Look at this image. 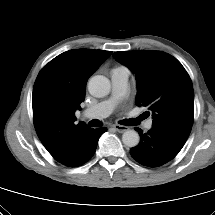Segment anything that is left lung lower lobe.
I'll use <instances>...</instances> for the list:
<instances>
[{
	"label": "left lung lower lobe",
	"mask_w": 215,
	"mask_h": 215,
	"mask_svg": "<svg viewBox=\"0 0 215 215\" xmlns=\"http://www.w3.org/2000/svg\"><path fill=\"white\" fill-rule=\"evenodd\" d=\"M140 135V142L130 149L131 156L140 164L158 167L172 160L184 146L167 133L152 127L147 133L135 128Z\"/></svg>",
	"instance_id": "1"
}]
</instances>
